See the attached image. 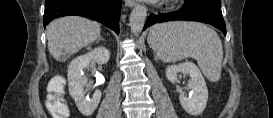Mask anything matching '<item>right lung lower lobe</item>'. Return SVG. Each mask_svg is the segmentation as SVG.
<instances>
[{
    "label": "right lung lower lobe",
    "instance_id": "98d812e1",
    "mask_svg": "<svg viewBox=\"0 0 273 118\" xmlns=\"http://www.w3.org/2000/svg\"><path fill=\"white\" fill-rule=\"evenodd\" d=\"M121 0H45L44 26L62 16L96 20L119 34Z\"/></svg>",
    "mask_w": 273,
    "mask_h": 118
}]
</instances>
